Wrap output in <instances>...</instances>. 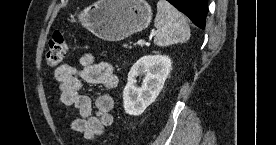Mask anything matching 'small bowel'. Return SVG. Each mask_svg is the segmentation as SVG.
<instances>
[{
  "label": "small bowel",
  "instance_id": "small-bowel-1",
  "mask_svg": "<svg viewBox=\"0 0 276 145\" xmlns=\"http://www.w3.org/2000/svg\"><path fill=\"white\" fill-rule=\"evenodd\" d=\"M80 64V67L60 65L55 69L54 77L59 83L61 103L79 113V117L72 121L71 129L92 140L112 124L114 102L109 94L98 93L93 107L90 96L81 92L82 81L100 84L104 90L113 91L118 85V78L113 73L112 64L95 62L90 54H85Z\"/></svg>",
  "mask_w": 276,
  "mask_h": 145
}]
</instances>
